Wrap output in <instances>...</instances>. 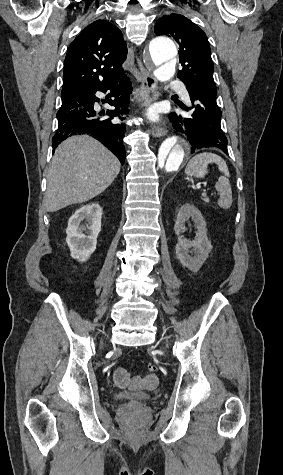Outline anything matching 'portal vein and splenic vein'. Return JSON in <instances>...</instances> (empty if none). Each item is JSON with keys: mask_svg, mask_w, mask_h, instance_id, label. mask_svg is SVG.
Wrapping results in <instances>:
<instances>
[{"mask_svg": "<svg viewBox=\"0 0 283 475\" xmlns=\"http://www.w3.org/2000/svg\"><path fill=\"white\" fill-rule=\"evenodd\" d=\"M199 193H200V195H202V196H206V197L209 196V195H208V194H209V191L206 190V189L200 190ZM211 194H212L211 196L213 197V196L216 194V191H215V190H212V191H211Z\"/></svg>", "mask_w": 283, "mask_h": 475, "instance_id": "portal-vein-and-splenic-vein-1", "label": "portal vein and splenic vein"}]
</instances>
